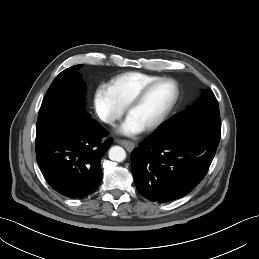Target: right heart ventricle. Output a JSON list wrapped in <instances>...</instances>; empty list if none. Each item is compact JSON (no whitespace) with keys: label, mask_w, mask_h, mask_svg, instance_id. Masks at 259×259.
<instances>
[{"label":"right heart ventricle","mask_w":259,"mask_h":259,"mask_svg":"<svg viewBox=\"0 0 259 259\" xmlns=\"http://www.w3.org/2000/svg\"><path fill=\"white\" fill-rule=\"evenodd\" d=\"M159 78V76L141 72H126L112 78L106 88L122 108H125L131 97L144 85Z\"/></svg>","instance_id":"e07e8e85"}]
</instances>
